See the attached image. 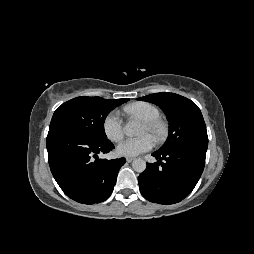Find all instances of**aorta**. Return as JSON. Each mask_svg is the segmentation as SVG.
Wrapping results in <instances>:
<instances>
[{
    "label": "aorta",
    "mask_w": 254,
    "mask_h": 254,
    "mask_svg": "<svg viewBox=\"0 0 254 254\" xmlns=\"http://www.w3.org/2000/svg\"><path fill=\"white\" fill-rule=\"evenodd\" d=\"M124 131H125L126 135H128V136H136L140 133V126L137 122L130 121L125 125ZM132 168L136 172L141 173V172L145 171V169H146V162L140 158L135 159L132 162Z\"/></svg>",
    "instance_id": "1"
}]
</instances>
